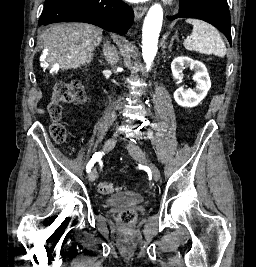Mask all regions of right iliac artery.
<instances>
[{
    "instance_id": "right-iliac-artery-1",
    "label": "right iliac artery",
    "mask_w": 256,
    "mask_h": 267,
    "mask_svg": "<svg viewBox=\"0 0 256 267\" xmlns=\"http://www.w3.org/2000/svg\"><path fill=\"white\" fill-rule=\"evenodd\" d=\"M103 152H96L89 163L86 166V171L89 173L91 171V168L93 167L94 163L102 158Z\"/></svg>"
}]
</instances>
